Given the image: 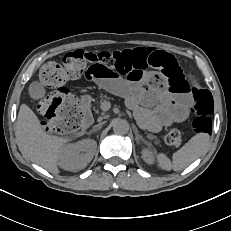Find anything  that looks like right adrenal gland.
Here are the masks:
<instances>
[{"label":"right adrenal gland","instance_id":"2a0ac1e0","mask_svg":"<svg viewBox=\"0 0 231 231\" xmlns=\"http://www.w3.org/2000/svg\"><path fill=\"white\" fill-rule=\"evenodd\" d=\"M101 129V127L99 126L98 128H93L88 134H91V133H93V132H95V131H98V130H100Z\"/></svg>","mask_w":231,"mask_h":231}]
</instances>
